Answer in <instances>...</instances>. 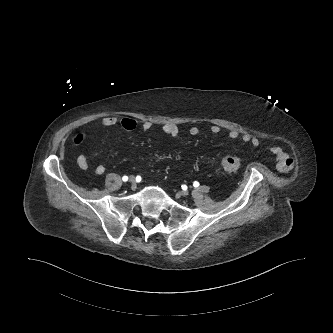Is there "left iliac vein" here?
I'll list each match as a JSON object with an SVG mask.
<instances>
[{
	"label": "left iliac vein",
	"instance_id": "4c4485c4",
	"mask_svg": "<svg viewBox=\"0 0 333 333\" xmlns=\"http://www.w3.org/2000/svg\"><path fill=\"white\" fill-rule=\"evenodd\" d=\"M188 194H189V192L186 191V190H183V191L180 192L181 196H187Z\"/></svg>",
	"mask_w": 333,
	"mask_h": 333
}]
</instances>
